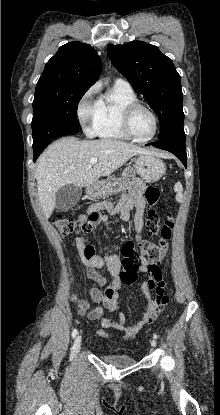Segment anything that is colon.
I'll list each match as a JSON object with an SVG mask.
<instances>
[{"mask_svg":"<svg viewBox=\"0 0 220 415\" xmlns=\"http://www.w3.org/2000/svg\"><path fill=\"white\" fill-rule=\"evenodd\" d=\"M145 196L149 205L154 207L159 202L160 192L156 187H148ZM52 223L62 235H69L77 228L76 221L64 214L54 216ZM146 226L151 234L160 236L159 242L151 243L147 240H139L137 247L134 241H127L121 251L122 269L119 277L123 284L131 285L135 283L139 273V260L145 258L149 263L147 290L150 294H153L152 299L156 309L164 310L169 304L170 292L162 279V273L158 265L169 253L174 220L168 218L163 224H160L155 210L151 208Z\"/></svg>","mask_w":220,"mask_h":415,"instance_id":"colon-1","label":"colon"}]
</instances>
